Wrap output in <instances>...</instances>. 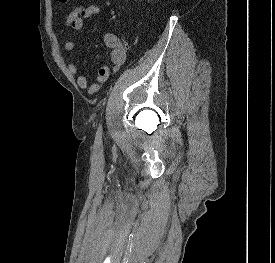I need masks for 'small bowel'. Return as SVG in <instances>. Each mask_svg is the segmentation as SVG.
Returning a JSON list of instances; mask_svg holds the SVG:
<instances>
[{"mask_svg": "<svg viewBox=\"0 0 275 263\" xmlns=\"http://www.w3.org/2000/svg\"><path fill=\"white\" fill-rule=\"evenodd\" d=\"M100 12V7L96 4H86L76 7L71 11L66 18V26L73 30H81L85 25V21L97 16ZM105 44L110 49V58L113 63V69L108 65L102 66L97 72V82L89 84L86 77L79 75L76 79L77 85L81 89L87 90L90 94L98 92L102 85L109 80L112 73L119 70L126 59V44L125 41L117 35L107 33L104 35ZM65 51H72L75 49L76 44L72 40L64 43ZM67 69L70 75L77 74V66L74 63H69Z\"/></svg>", "mask_w": 275, "mask_h": 263, "instance_id": "small-bowel-1", "label": "small bowel"}]
</instances>
